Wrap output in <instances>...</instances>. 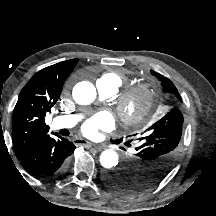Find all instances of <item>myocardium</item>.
Here are the masks:
<instances>
[{"mask_svg": "<svg viewBox=\"0 0 216 216\" xmlns=\"http://www.w3.org/2000/svg\"><path fill=\"white\" fill-rule=\"evenodd\" d=\"M155 100V91L148 83L127 87L118 97L116 108L128 124H140L150 114Z\"/></svg>", "mask_w": 216, "mask_h": 216, "instance_id": "myocardium-1", "label": "myocardium"}]
</instances>
